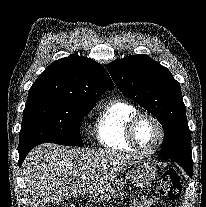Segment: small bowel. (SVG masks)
I'll list each match as a JSON object with an SVG mask.
<instances>
[{
	"instance_id": "obj_1",
	"label": "small bowel",
	"mask_w": 206,
	"mask_h": 207,
	"mask_svg": "<svg viewBox=\"0 0 206 207\" xmlns=\"http://www.w3.org/2000/svg\"><path fill=\"white\" fill-rule=\"evenodd\" d=\"M158 200L154 198L144 197L140 200H135L131 203V207H151L153 203H157Z\"/></svg>"
}]
</instances>
